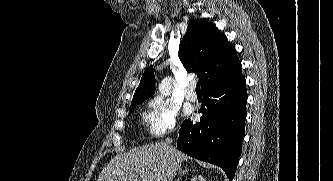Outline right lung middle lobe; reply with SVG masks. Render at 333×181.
Returning a JSON list of instances; mask_svg holds the SVG:
<instances>
[{
    "mask_svg": "<svg viewBox=\"0 0 333 181\" xmlns=\"http://www.w3.org/2000/svg\"><path fill=\"white\" fill-rule=\"evenodd\" d=\"M138 105V104H137ZM137 105H134V106H131L130 109H129V114H131V112L133 111V109L137 106Z\"/></svg>",
    "mask_w": 333,
    "mask_h": 181,
    "instance_id": "dd1d6c3e",
    "label": "right lung middle lobe"
}]
</instances>
